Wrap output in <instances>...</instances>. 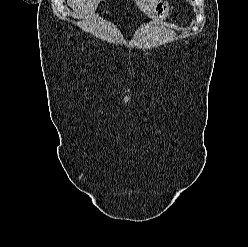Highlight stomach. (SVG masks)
I'll list each match as a JSON object with an SVG mask.
<instances>
[{"label": "stomach", "instance_id": "0dacf381", "mask_svg": "<svg viewBox=\"0 0 248 247\" xmlns=\"http://www.w3.org/2000/svg\"><path fill=\"white\" fill-rule=\"evenodd\" d=\"M169 4L165 0H159L153 7L150 17L153 21L159 22L167 18L169 14Z\"/></svg>", "mask_w": 248, "mask_h": 247}]
</instances>
